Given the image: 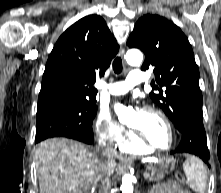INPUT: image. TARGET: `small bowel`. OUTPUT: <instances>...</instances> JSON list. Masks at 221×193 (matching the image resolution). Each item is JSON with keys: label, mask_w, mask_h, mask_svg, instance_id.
Segmentation results:
<instances>
[{"label": "small bowel", "mask_w": 221, "mask_h": 193, "mask_svg": "<svg viewBox=\"0 0 221 193\" xmlns=\"http://www.w3.org/2000/svg\"><path fill=\"white\" fill-rule=\"evenodd\" d=\"M151 193H190L176 183H167L155 187Z\"/></svg>", "instance_id": "small-bowel-1"}]
</instances>
